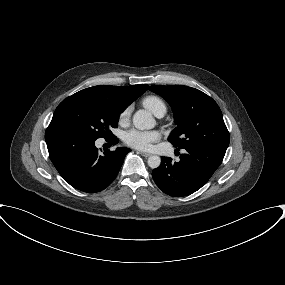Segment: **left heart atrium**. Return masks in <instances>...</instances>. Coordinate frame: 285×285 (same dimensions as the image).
Returning <instances> with one entry per match:
<instances>
[{
  "mask_svg": "<svg viewBox=\"0 0 285 285\" xmlns=\"http://www.w3.org/2000/svg\"><path fill=\"white\" fill-rule=\"evenodd\" d=\"M160 133L158 131H145L139 129H131L127 131L124 136V142L138 150H150L153 144L160 140Z\"/></svg>",
  "mask_w": 285,
  "mask_h": 285,
  "instance_id": "1",
  "label": "left heart atrium"
}]
</instances>
